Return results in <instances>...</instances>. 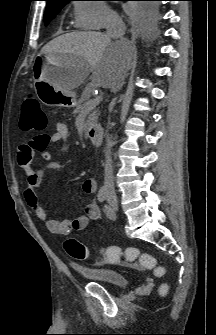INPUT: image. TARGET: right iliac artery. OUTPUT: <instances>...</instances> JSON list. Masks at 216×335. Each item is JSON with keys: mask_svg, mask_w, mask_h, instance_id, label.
I'll return each instance as SVG.
<instances>
[{"mask_svg": "<svg viewBox=\"0 0 216 335\" xmlns=\"http://www.w3.org/2000/svg\"><path fill=\"white\" fill-rule=\"evenodd\" d=\"M107 196V192H106V188L103 186L100 188L99 192H98V200L100 202H104Z\"/></svg>", "mask_w": 216, "mask_h": 335, "instance_id": "1", "label": "right iliac artery"}]
</instances>
